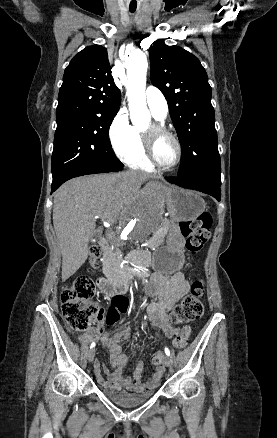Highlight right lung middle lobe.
Returning <instances> with one entry per match:
<instances>
[{
    "instance_id": "obj_1",
    "label": "right lung middle lobe",
    "mask_w": 277,
    "mask_h": 438,
    "mask_svg": "<svg viewBox=\"0 0 277 438\" xmlns=\"http://www.w3.org/2000/svg\"><path fill=\"white\" fill-rule=\"evenodd\" d=\"M113 118L87 115L56 117L52 153L53 180L76 169L122 166L109 140V127Z\"/></svg>"
}]
</instances>
